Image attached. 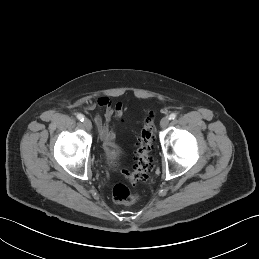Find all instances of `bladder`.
<instances>
[{"mask_svg": "<svg viewBox=\"0 0 259 259\" xmlns=\"http://www.w3.org/2000/svg\"><path fill=\"white\" fill-rule=\"evenodd\" d=\"M103 151L106 162L110 168H113L119 161L121 155L120 147L115 143L106 144L104 145Z\"/></svg>", "mask_w": 259, "mask_h": 259, "instance_id": "bladder-1", "label": "bladder"}]
</instances>
